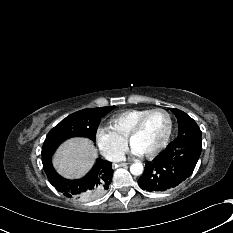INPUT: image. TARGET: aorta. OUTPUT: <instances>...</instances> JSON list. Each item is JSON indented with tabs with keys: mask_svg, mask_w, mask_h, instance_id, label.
I'll use <instances>...</instances> for the list:
<instances>
[{
	"mask_svg": "<svg viewBox=\"0 0 233 233\" xmlns=\"http://www.w3.org/2000/svg\"><path fill=\"white\" fill-rule=\"evenodd\" d=\"M143 165L141 163H134L130 166V172L131 174L138 176L143 173Z\"/></svg>",
	"mask_w": 233,
	"mask_h": 233,
	"instance_id": "1",
	"label": "aorta"
}]
</instances>
